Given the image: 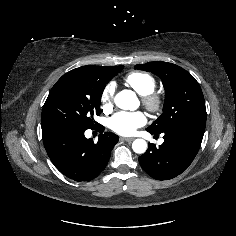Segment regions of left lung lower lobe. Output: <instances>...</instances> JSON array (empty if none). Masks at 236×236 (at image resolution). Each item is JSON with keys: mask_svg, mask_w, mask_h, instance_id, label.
Masks as SVG:
<instances>
[{"mask_svg": "<svg viewBox=\"0 0 236 236\" xmlns=\"http://www.w3.org/2000/svg\"><path fill=\"white\" fill-rule=\"evenodd\" d=\"M205 126V120H194L165 130L163 144L159 147L149 144L147 151L139 157L141 167L157 180L175 178L187 169L196 156Z\"/></svg>", "mask_w": 236, "mask_h": 236, "instance_id": "0a47b994", "label": "left lung lower lobe"}]
</instances>
